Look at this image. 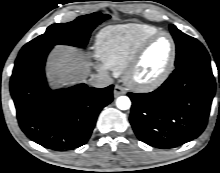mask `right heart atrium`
<instances>
[{"instance_id": "1", "label": "right heart atrium", "mask_w": 220, "mask_h": 173, "mask_svg": "<svg viewBox=\"0 0 220 173\" xmlns=\"http://www.w3.org/2000/svg\"><path fill=\"white\" fill-rule=\"evenodd\" d=\"M99 68H100L101 70H105V69H106V67H104V66H102V65H99Z\"/></svg>"}]
</instances>
